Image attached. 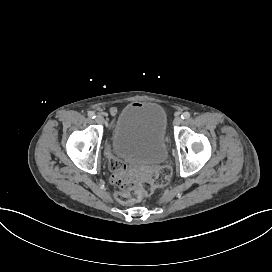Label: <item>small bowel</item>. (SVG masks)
Wrapping results in <instances>:
<instances>
[{"label": "small bowel", "instance_id": "obj_1", "mask_svg": "<svg viewBox=\"0 0 272 272\" xmlns=\"http://www.w3.org/2000/svg\"><path fill=\"white\" fill-rule=\"evenodd\" d=\"M109 112H110V114H111L112 116H115V115L117 114V109H116L115 107H112V108H110ZM112 127H114V125H112ZM107 157H108V160H109V161H110L112 158H115V156H113V155L111 154L110 151L107 152Z\"/></svg>", "mask_w": 272, "mask_h": 272}]
</instances>
